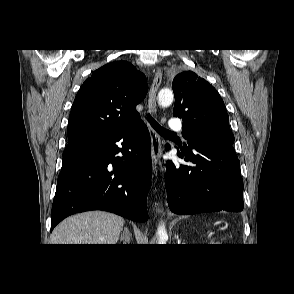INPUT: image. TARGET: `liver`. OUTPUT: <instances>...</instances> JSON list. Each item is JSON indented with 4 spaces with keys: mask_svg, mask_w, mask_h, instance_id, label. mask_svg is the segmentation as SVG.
I'll return each instance as SVG.
<instances>
[{
    "mask_svg": "<svg viewBox=\"0 0 294 294\" xmlns=\"http://www.w3.org/2000/svg\"><path fill=\"white\" fill-rule=\"evenodd\" d=\"M124 219L104 211H89L62 221L51 234L52 244H116Z\"/></svg>",
    "mask_w": 294,
    "mask_h": 294,
    "instance_id": "obj_1",
    "label": "liver"
}]
</instances>
